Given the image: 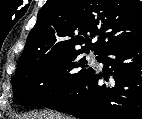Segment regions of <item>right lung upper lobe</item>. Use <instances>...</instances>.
I'll list each match as a JSON object with an SVG mask.
<instances>
[{"label": "right lung upper lobe", "instance_id": "obj_1", "mask_svg": "<svg viewBox=\"0 0 142 119\" xmlns=\"http://www.w3.org/2000/svg\"><path fill=\"white\" fill-rule=\"evenodd\" d=\"M98 35V40L91 39ZM142 39L139 0H47L30 31L17 69L67 51L100 54L123 43Z\"/></svg>", "mask_w": 142, "mask_h": 119}]
</instances>
